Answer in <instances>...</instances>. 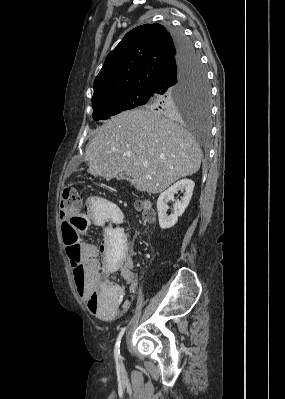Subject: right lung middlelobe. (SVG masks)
I'll use <instances>...</instances> for the list:
<instances>
[{
    "instance_id": "dd1d6c3e",
    "label": "right lung middle lobe",
    "mask_w": 285,
    "mask_h": 399,
    "mask_svg": "<svg viewBox=\"0 0 285 399\" xmlns=\"http://www.w3.org/2000/svg\"><path fill=\"white\" fill-rule=\"evenodd\" d=\"M92 105L95 121L145 105L164 113H192L207 122L210 117V88L206 72L197 57L180 82L165 94L152 93L150 89H131L93 99Z\"/></svg>"
}]
</instances>
